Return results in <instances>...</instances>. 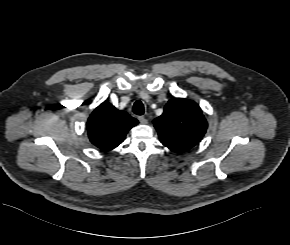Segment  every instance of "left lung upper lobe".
Here are the masks:
<instances>
[{
	"label": "left lung upper lobe",
	"instance_id": "5c2ea615",
	"mask_svg": "<svg viewBox=\"0 0 290 245\" xmlns=\"http://www.w3.org/2000/svg\"><path fill=\"white\" fill-rule=\"evenodd\" d=\"M161 143L181 153L191 149L204 136L207 122L200 107L191 100H170L161 116L154 119Z\"/></svg>",
	"mask_w": 290,
	"mask_h": 245
}]
</instances>
